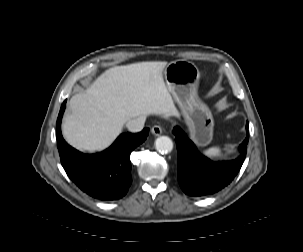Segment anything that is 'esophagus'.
<instances>
[{
    "label": "esophagus",
    "mask_w": 303,
    "mask_h": 252,
    "mask_svg": "<svg viewBox=\"0 0 303 252\" xmlns=\"http://www.w3.org/2000/svg\"><path fill=\"white\" fill-rule=\"evenodd\" d=\"M151 133L155 136H159L162 134V128L159 125H154L151 128Z\"/></svg>",
    "instance_id": "34e87169"
}]
</instances>
